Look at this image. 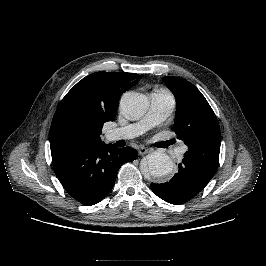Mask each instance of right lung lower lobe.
<instances>
[{
	"label": "right lung lower lobe",
	"mask_w": 266,
	"mask_h": 266,
	"mask_svg": "<svg viewBox=\"0 0 266 266\" xmlns=\"http://www.w3.org/2000/svg\"><path fill=\"white\" fill-rule=\"evenodd\" d=\"M56 176L65 190L83 205H94L112 190L119 168L137 159L130 147L112 144L90 145L51 152Z\"/></svg>",
	"instance_id": "98d812e1"
}]
</instances>
